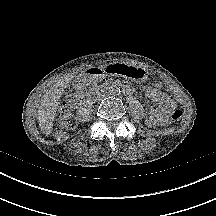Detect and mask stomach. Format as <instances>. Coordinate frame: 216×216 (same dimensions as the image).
Instances as JSON below:
<instances>
[{
	"label": "stomach",
	"mask_w": 216,
	"mask_h": 216,
	"mask_svg": "<svg viewBox=\"0 0 216 216\" xmlns=\"http://www.w3.org/2000/svg\"><path fill=\"white\" fill-rule=\"evenodd\" d=\"M107 71L110 74H117L120 79L127 78L135 83L145 82L148 78V72L145 68L124 63H110L107 66Z\"/></svg>",
	"instance_id": "stomach-1"
}]
</instances>
